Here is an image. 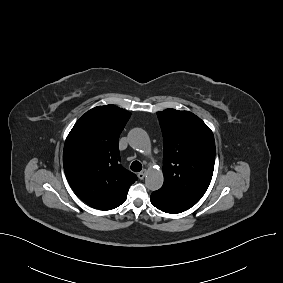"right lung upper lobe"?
I'll return each mask as SVG.
<instances>
[{
    "label": "right lung upper lobe",
    "instance_id": "obj_1",
    "mask_svg": "<svg viewBox=\"0 0 283 283\" xmlns=\"http://www.w3.org/2000/svg\"><path fill=\"white\" fill-rule=\"evenodd\" d=\"M130 116V112L114 105L95 107L75 123L66 138V178L74 192L93 208L118 207L137 180L119 163L118 139Z\"/></svg>",
    "mask_w": 283,
    "mask_h": 283
}]
</instances>
